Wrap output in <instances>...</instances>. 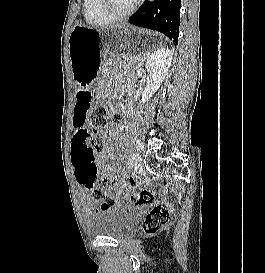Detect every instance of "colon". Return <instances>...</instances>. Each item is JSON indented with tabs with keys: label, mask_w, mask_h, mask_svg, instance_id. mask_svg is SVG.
<instances>
[{
	"label": "colon",
	"mask_w": 265,
	"mask_h": 273,
	"mask_svg": "<svg viewBox=\"0 0 265 273\" xmlns=\"http://www.w3.org/2000/svg\"><path fill=\"white\" fill-rule=\"evenodd\" d=\"M92 95L88 90H81L78 93V105L75 106L71 125L74 128H87L88 125L94 130L92 144L89 146V153L94 156L104 151L106 141L104 132L110 125H118L122 121V115L118 112L109 110L106 106L97 103L91 105ZM97 170L94 169L90 174L80 173L81 183L88 189L92 190L93 200L99 202L101 206H108L111 200L107 197L106 192L113 190L118 196H124L126 189L122 187L115 179L102 178L98 186H94V177ZM130 201L134 205H146L154 200L153 193L142 186L132 188ZM170 207L164 202L156 203L148 212L144 221V232L154 235L161 231L170 220Z\"/></svg>",
	"instance_id": "obj_1"
}]
</instances>
